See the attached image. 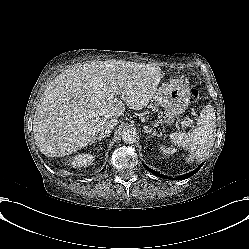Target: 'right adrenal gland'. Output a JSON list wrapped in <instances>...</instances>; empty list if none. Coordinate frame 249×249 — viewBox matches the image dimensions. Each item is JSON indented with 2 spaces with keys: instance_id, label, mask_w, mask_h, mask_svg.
I'll use <instances>...</instances> for the list:
<instances>
[{
  "instance_id": "2a0ac1e0",
  "label": "right adrenal gland",
  "mask_w": 249,
  "mask_h": 249,
  "mask_svg": "<svg viewBox=\"0 0 249 249\" xmlns=\"http://www.w3.org/2000/svg\"><path fill=\"white\" fill-rule=\"evenodd\" d=\"M107 137H108V135H105V134L99 135V136L97 137L96 141H94V142H97V140H98V141H99V144H100L101 139H102V138H107Z\"/></svg>"
}]
</instances>
